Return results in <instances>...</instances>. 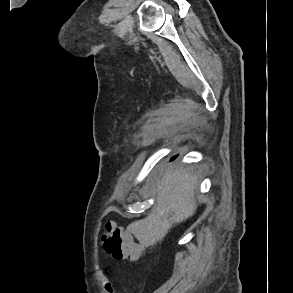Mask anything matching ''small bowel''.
I'll use <instances>...</instances> for the list:
<instances>
[{
  "label": "small bowel",
  "instance_id": "obj_1",
  "mask_svg": "<svg viewBox=\"0 0 293 293\" xmlns=\"http://www.w3.org/2000/svg\"><path fill=\"white\" fill-rule=\"evenodd\" d=\"M96 275L98 279L102 282L103 287L107 293H115L111 282L109 281L108 277L102 270H98Z\"/></svg>",
  "mask_w": 293,
  "mask_h": 293
}]
</instances>
